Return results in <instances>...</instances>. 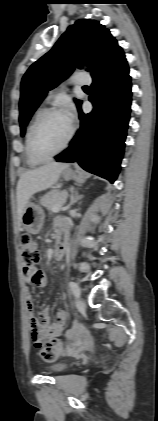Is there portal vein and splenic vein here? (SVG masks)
Listing matches in <instances>:
<instances>
[{
    "instance_id": "portal-vein-and-splenic-vein-1",
    "label": "portal vein and splenic vein",
    "mask_w": 158,
    "mask_h": 421,
    "mask_svg": "<svg viewBox=\"0 0 158 421\" xmlns=\"http://www.w3.org/2000/svg\"><path fill=\"white\" fill-rule=\"evenodd\" d=\"M68 207H62V206H58V207H55L54 209H53V212H58V211H60V210H65V209H67Z\"/></svg>"
}]
</instances>
